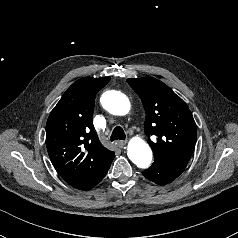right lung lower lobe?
<instances>
[{
    "instance_id": "1",
    "label": "right lung lower lobe",
    "mask_w": 238,
    "mask_h": 238,
    "mask_svg": "<svg viewBox=\"0 0 238 238\" xmlns=\"http://www.w3.org/2000/svg\"><path fill=\"white\" fill-rule=\"evenodd\" d=\"M111 163L108 164L107 166H105L102 170H100L94 177H92L90 180H88L87 182L79 185L78 187H76L79 190H89L91 188H93L94 186H96L106 175V173L109 170Z\"/></svg>"
}]
</instances>
